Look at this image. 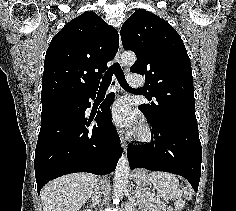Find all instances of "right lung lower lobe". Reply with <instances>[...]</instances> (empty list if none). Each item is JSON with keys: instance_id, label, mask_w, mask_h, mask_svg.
Listing matches in <instances>:
<instances>
[{"instance_id": "98d812e1", "label": "right lung lower lobe", "mask_w": 236, "mask_h": 211, "mask_svg": "<svg viewBox=\"0 0 236 211\" xmlns=\"http://www.w3.org/2000/svg\"><path fill=\"white\" fill-rule=\"evenodd\" d=\"M95 96L42 105L34 161L38 194L48 181L65 174L105 175L115 170L122 148L109 112L114 93L88 119L85 111L91 105L89 98ZM94 117L97 124L90 126Z\"/></svg>"}]
</instances>
